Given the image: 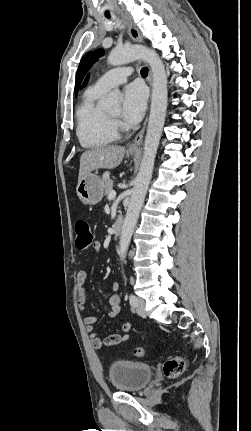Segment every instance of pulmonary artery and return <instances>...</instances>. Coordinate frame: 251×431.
Listing matches in <instances>:
<instances>
[{"instance_id": "pulmonary-artery-1", "label": "pulmonary artery", "mask_w": 251, "mask_h": 431, "mask_svg": "<svg viewBox=\"0 0 251 431\" xmlns=\"http://www.w3.org/2000/svg\"><path fill=\"white\" fill-rule=\"evenodd\" d=\"M131 68H116L108 71L102 75L95 83L94 87L101 91H108L109 89L125 83L131 75Z\"/></svg>"}]
</instances>
